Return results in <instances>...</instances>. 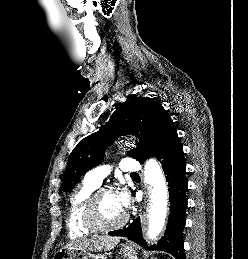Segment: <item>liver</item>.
<instances>
[{
	"instance_id": "6515ba94",
	"label": "liver",
	"mask_w": 248,
	"mask_h": 259,
	"mask_svg": "<svg viewBox=\"0 0 248 259\" xmlns=\"http://www.w3.org/2000/svg\"><path fill=\"white\" fill-rule=\"evenodd\" d=\"M121 237L118 236H97L93 238H84L72 241L64 248L74 247L80 250L90 252H102L113 249L120 241Z\"/></svg>"
}]
</instances>
